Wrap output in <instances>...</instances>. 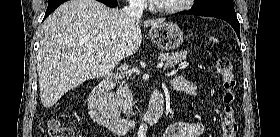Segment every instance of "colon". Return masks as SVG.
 I'll return each instance as SVG.
<instances>
[{
    "mask_svg": "<svg viewBox=\"0 0 280 137\" xmlns=\"http://www.w3.org/2000/svg\"><path fill=\"white\" fill-rule=\"evenodd\" d=\"M217 74L222 78L224 88V108L221 123L223 137H235L238 129L235 118V76L229 58L220 57L216 64ZM49 137H73V131L57 119H50L46 124Z\"/></svg>",
    "mask_w": 280,
    "mask_h": 137,
    "instance_id": "obj_1",
    "label": "colon"
}]
</instances>
